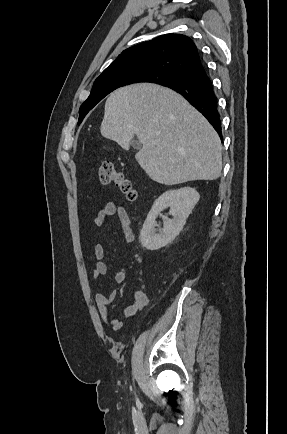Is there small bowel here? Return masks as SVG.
<instances>
[{"instance_id":"obj_1","label":"small bowel","mask_w":287,"mask_h":434,"mask_svg":"<svg viewBox=\"0 0 287 434\" xmlns=\"http://www.w3.org/2000/svg\"><path fill=\"white\" fill-rule=\"evenodd\" d=\"M116 216L120 230L122 232L125 243L130 244L134 240V232L130 222L129 215L124 207L109 202L103 206L97 215L93 219V224L96 227L104 226L108 220ZM94 256L96 259L95 266L92 271V277L94 279H100L107 272V265L103 261L104 247L101 244H97L94 248ZM127 274V267L124 266L120 270L114 273L113 280L115 283H122L125 280ZM117 291L112 290L107 295L97 292L94 294V302L97 310L102 319L114 330L119 331L123 323L120 319L113 317L110 314L108 306L116 299ZM148 305V297L144 290L137 289L133 292V302L123 310L125 317L132 316L137 312L142 311Z\"/></svg>"}]
</instances>
